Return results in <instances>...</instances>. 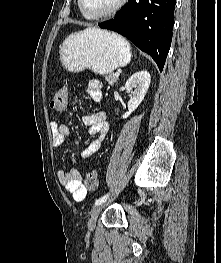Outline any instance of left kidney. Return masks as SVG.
Wrapping results in <instances>:
<instances>
[{
	"label": "left kidney",
	"mask_w": 221,
	"mask_h": 263,
	"mask_svg": "<svg viewBox=\"0 0 221 263\" xmlns=\"http://www.w3.org/2000/svg\"><path fill=\"white\" fill-rule=\"evenodd\" d=\"M151 76L147 71H138L134 73L126 82L125 88L127 91L132 92V96L128 101V112L122 117L126 119L129 115L136 110L144 99L146 92L149 88Z\"/></svg>",
	"instance_id": "obj_1"
}]
</instances>
